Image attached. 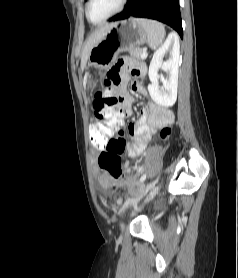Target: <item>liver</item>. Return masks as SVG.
<instances>
[{"label":"liver","mask_w":238,"mask_h":278,"mask_svg":"<svg viewBox=\"0 0 238 278\" xmlns=\"http://www.w3.org/2000/svg\"><path fill=\"white\" fill-rule=\"evenodd\" d=\"M114 23L106 24L99 27L86 41L84 50L81 56V69L84 70L86 63L88 61L91 49L99 42L107 33V31L113 26Z\"/></svg>","instance_id":"liver-1"}]
</instances>
